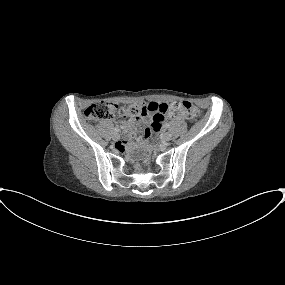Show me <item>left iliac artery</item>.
Masks as SVG:
<instances>
[{"mask_svg":"<svg viewBox=\"0 0 285 285\" xmlns=\"http://www.w3.org/2000/svg\"><path fill=\"white\" fill-rule=\"evenodd\" d=\"M170 125L168 123L165 124V128H169Z\"/></svg>","mask_w":285,"mask_h":285,"instance_id":"44dca946","label":"left iliac artery"}]
</instances>
